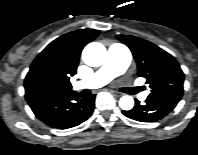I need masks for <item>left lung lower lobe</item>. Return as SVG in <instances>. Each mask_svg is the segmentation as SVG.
Segmentation results:
<instances>
[{
  "label": "left lung lower lobe",
  "mask_w": 198,
  "mask_h": 155,
  "mask_svg": "<svg viewBox=\"0 0 198 155\" xmlns=\"http://www.w3.org/2000/svg\"><path fill=\"white\" fill-rule=\"evenodd\" d=\"M178 102L166 98H147L145 104L141 105L136 99L134 108L129 111H122V113L126 117L139 122H156L172 111Z\"/></svg>",
  "instance_id": "0a47b994"
}]
</instances>
